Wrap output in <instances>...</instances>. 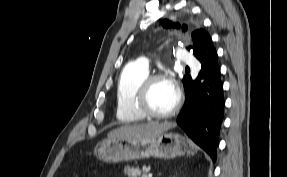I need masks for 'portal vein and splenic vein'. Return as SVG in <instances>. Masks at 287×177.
Listing matches in <instances>:
<instances>
[{
    "instance_id": "portal-vein-and-splenic-vein-1",
    "label": "portal vein and splenic vein",
    "mask_w": 287,
    "mask_h": 177,
    "mask_svg": "<svg viewBox=\"0 0 287 177\" xmlns=\"http://www.w3.org/2000/svg\"><path fill=\"white\" fill-rule=\"evenodd\" d=\"M147 177H152V174H148V176Z\"/></svg>"
}]
</instances>
